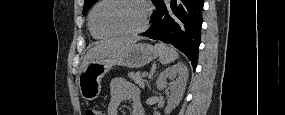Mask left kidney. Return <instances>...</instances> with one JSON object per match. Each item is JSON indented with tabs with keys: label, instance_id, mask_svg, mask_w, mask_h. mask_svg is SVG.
Returning <instances> with one entry per match:
<instances>
[{
	"label": "left kidney",
	"instance_id": "left-kidney-1",
	"mask_svg": "<svg viewBox=\"0 0 285 115\" xmlns=\"http://www.w3.org/2000/svg\"><path fill=\"white\" fill-rule=\"evenodd\" d=\"M168 89L170 90V96L168 98L167 107L165 108V113L169 114L182 100L183 94L185 92L186 83L188 80V68L187 66L179 62L166 70H164L157 79V88L162 90L167 88L166 79L176 78Z\"/></svg>",
	"mask_w": 285,
	"mask_h": 115
}]
</instances>
